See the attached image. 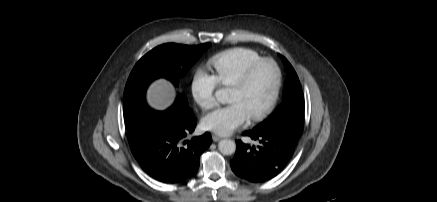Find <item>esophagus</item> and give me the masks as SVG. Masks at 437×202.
<instances>
[{
    "label": "esophagus",
    "instance_id": "esophagus-1",
    "mask_svg": "<svg viewBox=\"0 0 437 202\" xmlns=\"http://www.w3.org/2000/svg\"><path fill=\"white\" fill-rule=\"evenodd\" d=\"M212 139H213L214 142H217V141H220V140L222 139V137H221V136H218V135H216V134H213V135H212Z\"/></svg>",
    "mask_w": 437,
    "mask_h": 202
}]
</instances>
